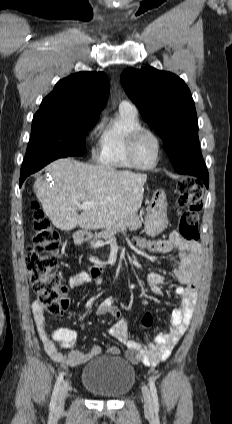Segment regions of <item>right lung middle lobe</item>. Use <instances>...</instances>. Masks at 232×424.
I'll return each mask as SVG.
<instances>
[{"instance_id":"right-lung-middle-lobe-1","label":"right lung middle lobe","mask_w":232,"mask_h":424,"mask_svg":"<svg viewBox=\"0 0 232 424\" xmlns=\"http://www.w3.org/2000/svg\"><path fill=\"white\" fill-rule=\"evenodd\" d=\"M98 119L77 109L38 110L22 167L44 157L82 156L86 133Z\"/></svg>"}]
</instances>
